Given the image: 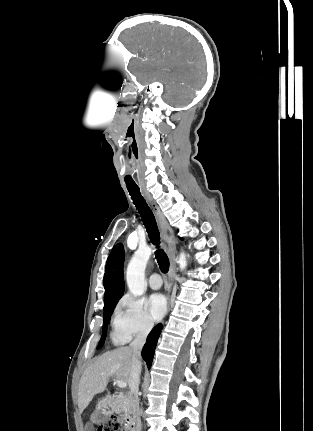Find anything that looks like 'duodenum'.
<instances>
[{"label": "duodenum", "instance_id": "410a0bca", "mask_svg": "<svg viewBox=\"0 0 313 431\" xmlns=\"http://www.w3.org/2000/svg\"><path fill=\"white\" fill-rule=\"evenodd\" d=\"M116 399L120 402L126 403L130 408V413L127 415L125 419V424L128 431H137V415L136 409L133 404L131 397L127 394L117 396Z\"/></svg>", "mask_w": 313, "mask_h": 431}]
</instances>
